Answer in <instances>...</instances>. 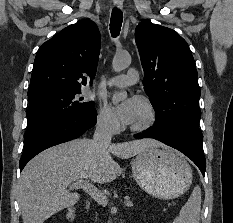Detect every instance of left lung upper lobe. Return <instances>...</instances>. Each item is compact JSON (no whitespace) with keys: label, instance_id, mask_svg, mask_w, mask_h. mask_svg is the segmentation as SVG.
Returning <instances> with one entry per match:
<instances>
[{"label":"left lung upper lobe","instance_id":"left-lung-upper-lobe-1","mask_svg":"<svg viewBox=\"0 0 233 223\" xmlns=\"http://www.w3.org/2000/svg\"><path fill=\"white\" fill-rule=\"evenodd\" d=\"M135 41L144 70V90L155 110L156 127L199 128L198 74L187 42L174 30L140 22Z\"/></svg>","mask_w":233,"mask_h":223}]
</instances>
